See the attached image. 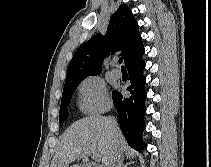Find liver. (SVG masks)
I'll return each mask as SVG.
<instances>
[{"instance_id": "1", "label": "liver", "mask_w": 211, "mask_h": 167, "mask_svg": "<svg viewBox=\"0 0 211 167\" xmlns=\"http://www.w3.org/2000/svg\"><path fill=\"white\" fill-rule=\"evenodd\" d=\"M92 153L100 155L102 167H112L118 154H132L120 129L111 130L109 118L91 116L74 123L61 136L50 167H69L78 158L85 163Z\"/></svg>"}]
</instances>
